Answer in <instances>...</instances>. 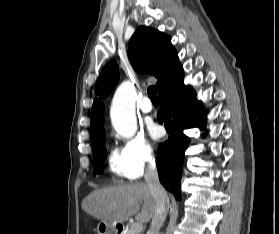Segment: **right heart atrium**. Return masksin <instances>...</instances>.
Returning <instances> with one entry per match:
<instances>
[{
	"mask_svg": "<svg viewBox=\"0 0 279 234\" xmlns=\"http://www.w3.org/2000/svg\"><path fill=\"white\" fill-rule=\"evenodd\" d=\"M122 152L127 161L131 179L141 177L156 159L153 145L142 134L126 140Z\"/></svg>",
	"mask_w": 279,
	"mask_h": 234,
	"instance_id": "right-heart-atrium-1",
	"label": "right heart atrium"
}]
</instances>
